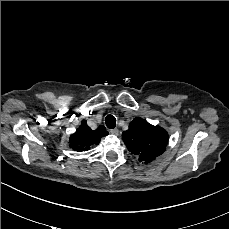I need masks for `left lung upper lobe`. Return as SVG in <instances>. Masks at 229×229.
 Returning <instances> with one entry per match:
<instances>
[{"instance_id":"5c2ea615","label":"left lung upper lobe","mask_w":229,"mask_h":229,"mask_svg":"<svg viewBox=\"0 0 229 229\" xmlns=\"http://www.w3.org/2000/svg\"><path fill=\"white\" fill-rule=\"evenodd\" d=\"M122 137L128 150L145 163H150L160 156L165 151L169 139L163 128L153 126L140 117L133 119L129 129L122 133Z\"/></svg>"}]
</instances>
